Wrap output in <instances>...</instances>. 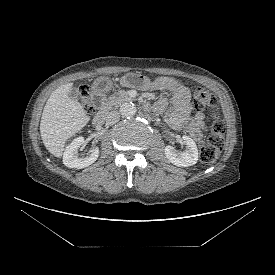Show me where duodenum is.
<instances>
[{
	"label": "duodenum",
	"mask_w": 275,
	"mask_h": 275,
	"mask_svg": "<svg viewBox=\"0 0 275 275\" xmlns=\"http://www.w3.org/2000/svg\"><path fill=\"white\" fill-rule=\"evenodd\" d=\"M93 96L97 102H100L102 99V92L100 90H96V91H94ZM144 109H145V111H149V106L145 105ZM105 119H106V111L102 109L95 115V117L93 119V124L96 127H100L104 124Z\"/></svg>",
	"instance_id": "410a0bca"
}]
</instances>
